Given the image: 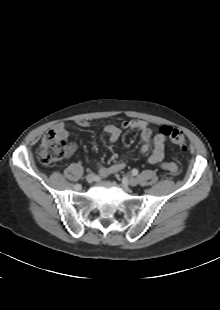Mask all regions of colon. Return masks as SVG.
Here are the masks:
<instances>
[{
    "instance_id": "5ec220e1",
    "label": "colon",
    "mask_w": 220,
    "mask_h": 310,
    "mask_svg": "<svg viewBox=\"0 0 220 310\" xmlns=\"http://www.w3.org/2000/svg\"><path fill=\"white\" fill-rule=\"evenodd\" d=\"M159 133L167 137L173 144L185 148L186 138L184 133L177 128L162 126ZM67 155V145L61 135L55 131H48L38 151L39 159L46 164H54L61 161Z\"/></svg>"
}]
</instances>
